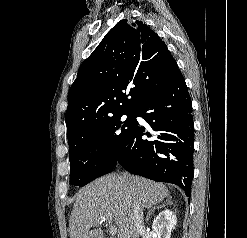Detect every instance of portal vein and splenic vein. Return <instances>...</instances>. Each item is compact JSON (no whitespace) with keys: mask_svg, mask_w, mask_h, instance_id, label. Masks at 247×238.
Listing matches in <instances>:
<instances>
[{"mask_svg":"<svg viewBox=\"0 0 247 238\" xmlns=\"http://www.w3.org/2000/svg\"><path fill=\"white\" fill-rule=\"evenodd\" d=\"M112 220V217H109L108 219H106V218H104V219H102L101 221H100V223H102V222H107V221H111ZM109 233L111 234V235H115L116 233H117V227L116 226H114V225H112V224H110L109 225Z\"/></svg>","mask_w":247,"mask_h":238,"instance_id":"portal-vein-and-splenic-vein-1","label":"portal vein and splenic vein"}]
</instances>
